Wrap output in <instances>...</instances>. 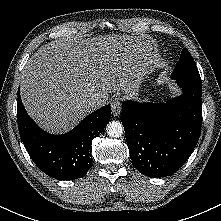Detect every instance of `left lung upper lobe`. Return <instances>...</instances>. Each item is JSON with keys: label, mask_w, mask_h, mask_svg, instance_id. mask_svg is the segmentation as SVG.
Instances as JSON below:
<instances>
[{"label": "left lung upper lobe", "mask_w": 221, "mask_h": 221, "mask_svg": "<svg viewBox=\"0 0 221 221\" xmlns=\"http://www.w3.org/2000/svg\"><path fill=\"white\" fill-rule=\"evenodd\" d=\"M173 79L181 78H197L200 79L198 69L196 68L195 62L189 53V51L184 48L182 50L180 60L178 61L174 71L171 74Z\"/></svg>", "instance_id": "left-lung-upper-lobe-1"}]
</instances>
